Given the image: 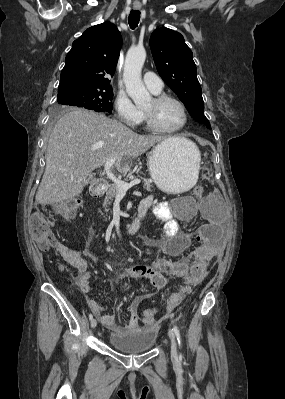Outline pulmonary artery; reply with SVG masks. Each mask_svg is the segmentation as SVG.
<instances>
[{"mask_svg":"<svg viewBox=\"0 0 285 399\" xmlns=\"http://www.w3.org/2000/svg\"><path fill=\"white\" fill-rule=\"evenodd\" d=\"M145 85L153 93H158L163 88V82L160 77H158L153 72H146L143 77Z\"/></svg>","mask_w":285,"mask_h":399,"instance_id":"e3ab8cb5","label":"pulmonary artery"}]
</instances>
